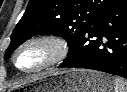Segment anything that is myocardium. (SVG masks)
Instances as JSON below:
<instances>
[{"label": "myocardium", "mask_w": 127, "mask_h": 92, "mask_svg": "<svg viewBox=\"0 0 127 92\" xmlns=\"http://www.w3.org/2000/svg\"><path fill=\"white\" fill-rule=\"evenodd\" d=\"M32 44L47 45L50 48L51 56L44 64L40 66L32 69H22L17 64V57L24 48ZM69 51L70 45L65 37L56 33H41L31 36L21 42L13 54L12 62L16 69L23 73H36L59 64L68 56Z\"/></svg>", "instance_id": "obj_1"}]
</instances>
